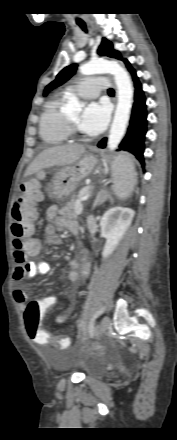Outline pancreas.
Here are the masks:
<instances>
[{"mask_svg":"<svg viewBox=\"0 0 177 440\" xmlns=\"http://www.w3.org/2000/svg\"><path fill=\"white\" fill-rule=\"evenodd\" d=\"M88 188H84L79 192V196L81 197V195L86 194L87 193ZM77 205H81V201L79 199H77L76 195H73L70 202L64 206L62 209H60L58 211L59 215H61L64 218L67 219H77L78 215L76 214V207Z\"/></svg>","mask_w":177,"mask_h":440,"instance_id":"cf45deb5","label":"pancreas"}]
</instances>
